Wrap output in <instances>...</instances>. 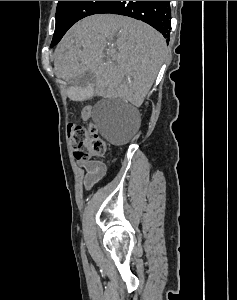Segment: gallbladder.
I'll return each mask as SVG.
<instances>
[{
    "instance_id": "1",
    "label": "gallbladder",
    "mask_w": 237,
    "mask_h": 300,
    "mask_svg": "<svg viewBox=\"0 0 237 300\" xmlns=\"http://www.w3.org/2000/svg\"><path fill=\"white\" fill-rule=\"evenodd\" d=\"M75 88V87H73ZM72 87L67 89L70 101H88L93 89L91 87H77L74 90Z\"/></svg>"
}]
</instances>
